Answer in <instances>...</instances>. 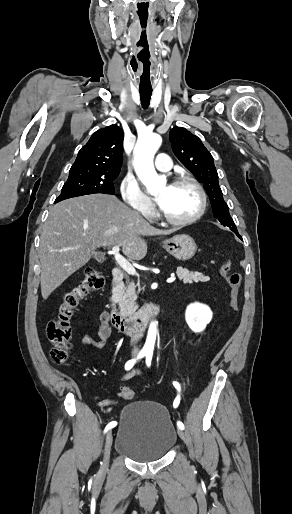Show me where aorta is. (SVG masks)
<instances>
[{"instance_id": "obj_1", "label": "aorta", "mask_w": 292, "mask_h": 514, "mask_svg": "<svg viewBox=\"0 0 292 514\" xmlns=\"http://www.w3.org/2000/svg\"><path fill=\"white\" fill-rule=\"evenodd\" d=\"M161 138L157 134H146L139 138L135 148V172L142 184L146 186L149 194H156L160 186H165V176H158L155 172L153 158L161 146ZM157 328L156 322L149 326L148 336L144 348H154Z\"/></svg>"}]
</instances>
